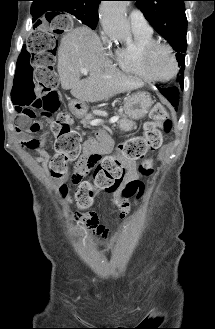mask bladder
<instances>
[{
	"label": "bladder",
	"instance_id": "1",
	"mask_svg": "<svg viewBox=\"0 0 215 329\" xmlns=\"http://www.w3.org/2000/svg\"><path fill=\"white\" fill-rule=\"evenodd\" d=\"M88 248L94 249L96 251H102L103 245L98 240H94L88 243Z\"/></svg>",
	"mask_w": 215,
	"mask_h": 329
}]
</instances>
